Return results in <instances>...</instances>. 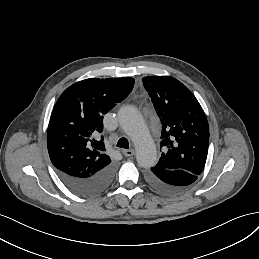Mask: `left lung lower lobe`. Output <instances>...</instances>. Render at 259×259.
I'll return each instance as SVG.
<instances>
[{
  "label": "left lung lower lobe",
  "instance_id": "left-lung-lower-lobe-1",
  "mask_svg": "<svg viewBox=\"0 0 259 259\" xmlns=\"http://www.w3.org/2000/svg\"><path fill=\"white\" fill-rule=\"evenodd\" d=\"M199 175L191 174L184 170H162L147 172L146 178L149 185L155 190L169 195L180 194L189 189Z\"/></svg>",
  "mask_w": 259,
  "mask_h": 259
}]
</instances>
